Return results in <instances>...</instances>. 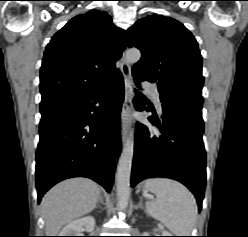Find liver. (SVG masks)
I'll return each mask as SVG.
<instances>
[{
  "label": "liver",
  "mask_w": 248,
  "mask_h": 237,
  "mask_svg": "<svg viewBox=\"0 0 248 237\" xmlns=\"http://www.w3.org/2000/svg\"><path fill=\"white\" fill-rule=\"evenodd\" d=\"M100 195L98 185L86 178L65 180L50 189L41 202L46 236H56L64 225L91 212Z\"/></svg>",
  "instance_id": "liver-1"
}]
</instances>
